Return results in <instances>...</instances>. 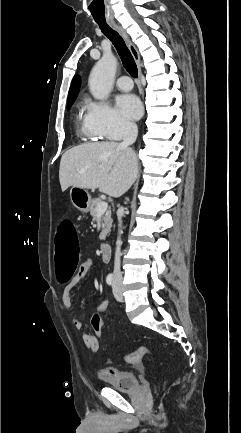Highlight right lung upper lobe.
<instances>
[{"label":"right lung upper lobe","instance_id":"right-lung-upper-lobe-1","mask_svg":"<svg viewBox=\"0 0 241 433\" xmlns=\"http://www.w3.org/2000/svg\"><path fill=\"white\" fill-rule=\"evenodd\" d=\"M79 86H80V78L78 76H76L71 84V87L69 89V93H68V105H71L72 102L74 101L76 95L78 94L79 91Z\"/></svg>","mask_w":241,"mask_h":433}]
</instances>
